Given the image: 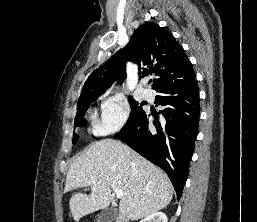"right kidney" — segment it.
<instances>
[{"mask_svg":"<svg viewBox=\"0 0 257 222\" xmlns=\"http://www.w3.org/2000/svg\"><path fill=\"white\" fill-rule=\"evenodd\" d=\"M167 216L162 212H155L148 215L140 222H167Z\"/></svg>","mask_w":257,"mask_h":222,"instance_id":"1","label":"right kidney"}]
</instances>
